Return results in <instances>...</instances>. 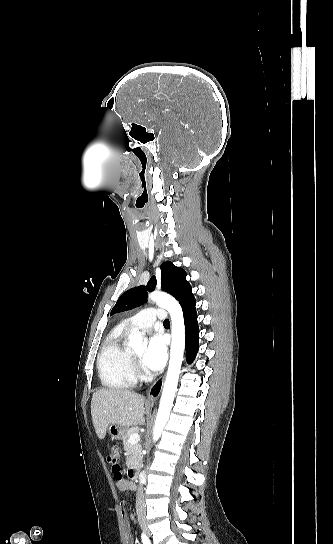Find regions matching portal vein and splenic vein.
I'll return each mask as SVG.
<instances>
[{
  "label": "portal vein and splenic vein",
  "mask_w": 333,
  "mask_h": 544,
  "mask_svg": "<svg viewBox=\"0 0 333 544\" xmlns=\"http://www.w3.org/2000/svg\"><path fill=\"white\" fill-rule=\"evenodd\" d=\"M140 441V435L138 433H133L129 438L130 444H135Z\"/></svg>",
  "instance_id": "18ae733b"
}]
</instances>
